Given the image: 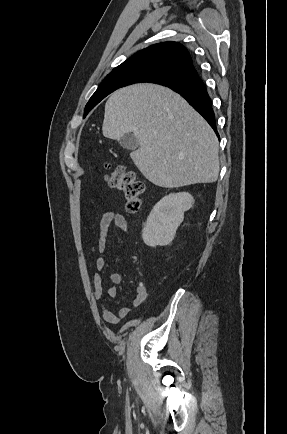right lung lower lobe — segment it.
Here are the masks:
<instances>
[{
    "mask_svg": "<svg viewBox=\"0 0 287 434\" xmlns=\"http://www.w3.org/2000/svg\"><path fill=\"white\" fill-rule=\"evenodd\" d=\"M166 87L171 88L185 98L187 102L203 116L218 135L215 114L212 109V101L196 69L191 70L182 79Z\"/></svg>",
    "mask_w": 287,
    "mask_h": 434,
    "instance_id": "right-lung-lower-lobe-1",
    "label": "right lung lower lobe"
}]
</instances>
